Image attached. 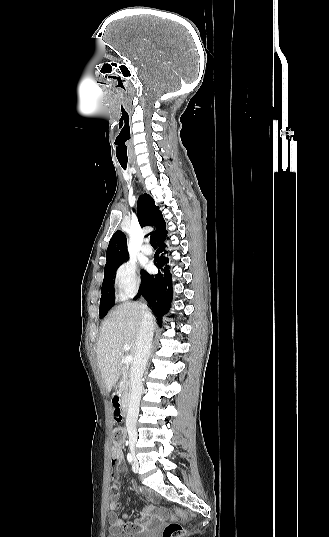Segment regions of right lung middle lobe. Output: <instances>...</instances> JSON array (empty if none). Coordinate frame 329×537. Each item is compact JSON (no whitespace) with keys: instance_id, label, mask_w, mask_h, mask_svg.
Returning a JSON list of instances; mask_svg holds the SVG:
<instances>
[{"instance_id":"obj_1","label":"right lung middle lobe","mask_w":329,"mask_h":537,"mask_svg":"<svg viewBox=\"0 0 329 537\" xmlns=\"http://www.w3.org/2000/svg\"><path fill=\"white\" fill-rule=\"evenodd\" d=\"M123 262V261H122ZM122 262L114 263L109 265L104 269V280L102 283L101 289V299H100V317H104L107 314V311L114 305V289H113V276L116 269Z\"/></svg>"}]
</instances>
